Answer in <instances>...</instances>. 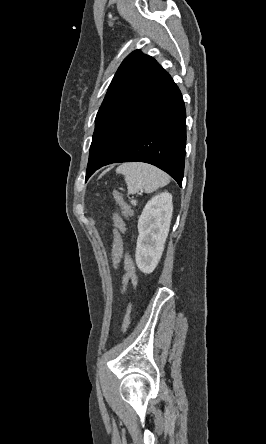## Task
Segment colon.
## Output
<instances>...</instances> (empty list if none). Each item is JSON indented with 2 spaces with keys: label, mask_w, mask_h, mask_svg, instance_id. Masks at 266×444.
Returning <instances> with one entry per match:
<instances>
[{
  "label": "colon",
  "mask_w": 266,
  "mask_h": 444,
  "mask_svg": "<svg viewBox=\"0 0 266 444\" xmlns=\"http://www.w3.org/2000/svg\"><path fill=\"white\" fill-rule=\"evenodd\" d=\"M114 197L122 211V214L125 218H128L131 215V209L129 205L123 200L122 196L118 191L114 192ZM113 222H114V235H113V244L111 251V262L112 266L117 269L121 263L122 255H123V232L125 229V223L123 218L118 214H113ZM131 320V305L129 304L123 321L121 325V331L126 332Z\"/></svg>",
  "instance_id": "colon-1"
}]
</instances>
